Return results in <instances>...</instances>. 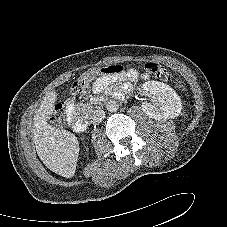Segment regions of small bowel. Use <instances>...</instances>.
<instances>
[{"label": "small bowel", "mask_w": 227, "mask_h": 227, "mask_svg": "<svg viewBox=\"0 0 227 227\" xmlns=\"http://www.w3.org/2000/svg\"><path fill=\"white\" fill-rule=\"evenodd\" d=\"M126 78L129 79H137V78H147L145 74H139L136 70H130L125 74ZM107 80H99L94 84V89L95 90H101L105 85H106Z\"/></svg>", "instance_id": "small-bowel-1"}]
</instances>
